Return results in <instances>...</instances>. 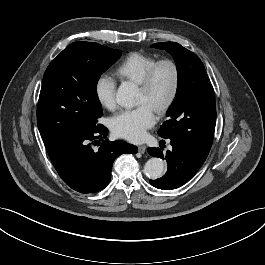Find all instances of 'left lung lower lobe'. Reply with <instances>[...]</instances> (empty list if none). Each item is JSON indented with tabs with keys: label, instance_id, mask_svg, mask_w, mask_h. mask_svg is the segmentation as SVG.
I'll return each instance as SVG.
<instances>
[{
	"label": "left lung lower lobe",
	"instance_id": "1",
	"mask_svg": "<svg viewBox=\"0 0 265 265\" xmlns=\"http://www.w3.org/2000/svg\"><path fill=\"white\" fill-rule=\"evenodd\" d=\"M172 149L163 155L159 148H148L153 157L165 158L168 164L166 174L156 180H150L151 185L163 190L176 189L190 180L201 168L206 159L197 155L190 146L171 140Z\"/></svg>",
	"mask_w": 265,
	"mask_h": 265
}]
</instances>
